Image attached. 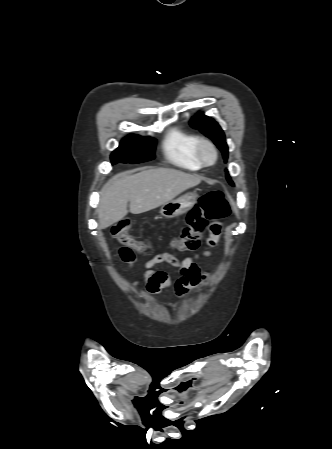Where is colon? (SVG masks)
Wrapping results in <instances>:
<instances>
[{"instance_id":"obj_1","label":"colon","mask_w":332,"mask_h":449,"mask_svg":"<svg viewBox=\"0 0 332 449\" xmlns=\"http://www.w3.org/2000/svg\"><path fill=\"white\" fill-rule=\"evenodd\" d=\"M230 214V206L220 191H212L203 195L198 203L189 211L186 226L174 240V246L184 252L196 251L202 242V235L207 230L217 231L214 225ZM131 222L128 219L118 221L112 227V235L121 243L120 256L124 262L134 260L136 253L146 249L143 241L134 238L130 233Z\"/></svg>"}]
</instances>
